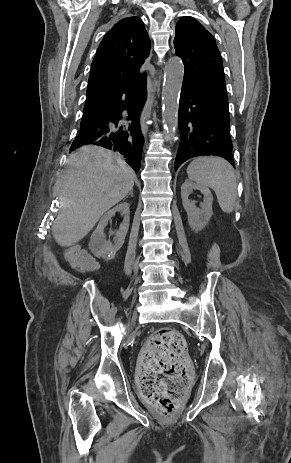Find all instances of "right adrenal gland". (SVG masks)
Listing matches in <instances>:
<instances>
[{
	"mask_svg": "<svg viewBox=\"0 0 291 463\" xmlns=\"http://www.w3.org/2000/svg\"><path fill=\"white\" fill-rule=\"evenodd\" d=\"M129 195H130L131 197H133V189L130 191ZM129 195H128V196H129Z\"/></svg>",
	"mask_w": 291,
	"mask_h": 463,
	"instance_id": "2a0ac1e0",
	"label": "right adrenal gland"
}]
</instances>
